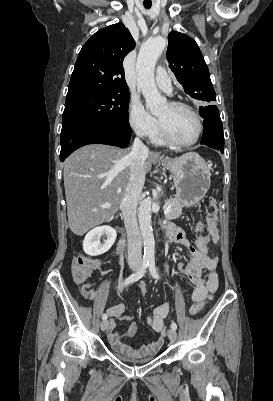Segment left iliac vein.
I'll use <instances>...</instances> for the list:
<instances>
[{"mask_svg":"<svg viewBox=\"0 0 273 401\" xmlns=\"http://www.w3.org/2000/svg\"><path fill=\"white\" fill-rule=\"evenodd\" d=\"M168 337L170 339V341L175 342L177 339V333L174 329H169L168 330Z\"/></svg>","mask_w":273,"mask_h":401,"instance_id":"1","label":"left iliac vein"}]
</instances>
